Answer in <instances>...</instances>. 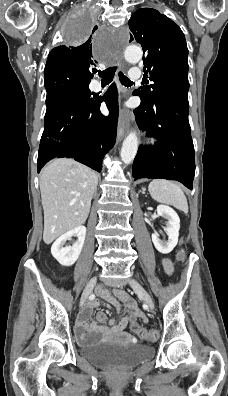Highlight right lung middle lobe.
<instances>
[{"instance_id":"dd1d6c3e","label":"right lung middle lobe","mask_w":228,"mask_h":396,"mask_svg":"<svg viewBox=\"0 0 228 396\" xmlns=\"http://www.w3.org/2000/svg\"><path fill=\"white\" fill-rule=\"evenodd\" d=\"M74 23L80 26V34L76 42L88 37L92 30L89 17L79 15L74 19ZM96 27H94L92 33ZM45 77V88L47 91V110L53 108L58 102L71 97H90L88 85L89 79L79 77L71 73L51 74Z\"/></svg>"}]
</instances>
